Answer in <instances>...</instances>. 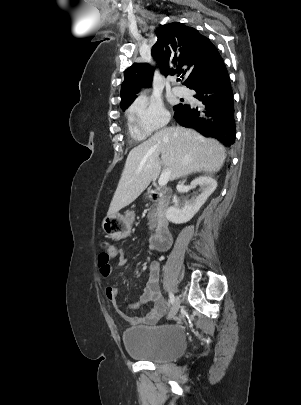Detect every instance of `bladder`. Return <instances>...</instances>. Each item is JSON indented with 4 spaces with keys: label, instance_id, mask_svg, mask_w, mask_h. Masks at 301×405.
Instances as JSON below:
<instances>
[{
    "label": "bladder",
    "instance_id": "31cf9c89",
    "mask_svg": "<svg viewBox=\"0 0 301 405\" xmlns=\"http://www.w3.org/2000/svg\"><path fill=\"white\" fill-rule=\"evenodd\" d=\"M122 338L131 357L155 363L171 362L187 347L184 330L175 324L131 327L123 332Z\"/></svg>",
    "mask_w": 301,
    "mask_h": 405
}]
</instances>
